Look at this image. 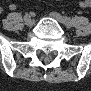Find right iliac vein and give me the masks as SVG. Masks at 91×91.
<instances>
[{"label":"right iliac vein","instance_id":"right-iliac-vein-1","mask_svg":"<svg viewBox=\"0 0 91 91\" xmlns=\"http://www.w3.org/2000/svg\"><path fill=\"white\" fill-rule=\"evenodd\" d=\"M24 23L27 26L31 27L34 24V20L30 16H27V17H24Z\"/></svg>","mask_w":91,"mask_h":91}]
</instances>
